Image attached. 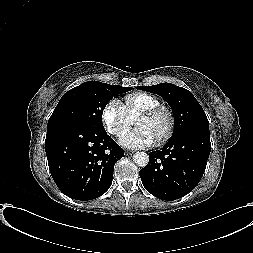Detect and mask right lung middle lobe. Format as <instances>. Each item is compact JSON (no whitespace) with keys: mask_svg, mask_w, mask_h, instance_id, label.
<instances>
[{"mask_svg":"<svg viewBox=\"0 0 253 253\" xmlns=\"http://www.w3.org/2000/svg\"><path fill=\"white\" fill-rule=\"evenodd\" d=\"M131 89L132 87L98 81L84 82L63 95L48 121L47 128L61 124H77L104 130L102 113L105 106L113 96Z\"/></svg>","mask_w":253,"mask_h":253,"instance_id":"1","label":"right lung middle lobe"}]
</instances>
